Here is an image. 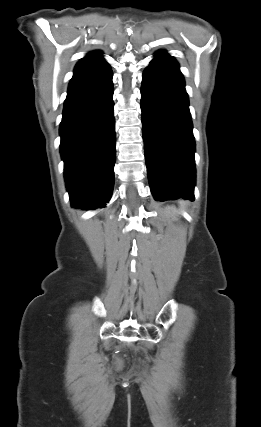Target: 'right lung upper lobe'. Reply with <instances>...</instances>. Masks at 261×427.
I'll use <instances>...</instances> for the list:
<instances>
[{
    "label": "right lung upper lobe",
    "instance_id": "1",
    "mask_svg": "<svg viewBox=\"0 0 261 427\" xmlns=\"http://www.w3.org/2000/svg\"><path fill=\"white\" fill-rule=\"evenodd\" d=\"M106 65L108 64L102 58L101 52H91L77 63L72 79L99 70Z\"/></svg>",
    "mask_w": 261,
    "mask_h": 427
}]
</instances>
